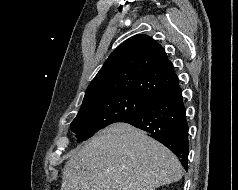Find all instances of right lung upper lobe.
Returning <instances> with one entry per match:
<instances>
[{
	"label": "right lung upper lobe",
	"instance_id": "1",
	"mask_svg": "<svg viewBox=\"0 0 238 190\" xmlns=\"http://www.w3.org/2000/svg\"><path fill=\"white\" fill-rule=\"evenodd\" d=\"M178 84L165 50L138 34L119 45L88 86L83 102L111 95H133L155 102Z\"/></svg>",
	"mask_w": 238,
	"mask_h": 190
}]
</instances>
